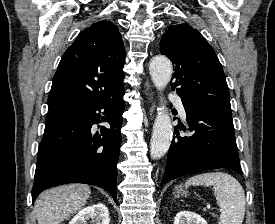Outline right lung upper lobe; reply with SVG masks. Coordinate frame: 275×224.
<instances>
[{"mask_svg":"<svg viewBox=\"0 0 275 224\" xmlns=\"http://www.w3.org/2000/svg\"><path fill=\"white\" fill-rule=\"evenodd\" d=\"M125 49L110 21L83 30L61 58L48 97L49 112L106 99L123 89Z\"/></svg>","mask_w":275,"mask_h":224,"instance_id":"right-lung-upper-lobe-1","label":"right lung upper lobe"}]
</instances>
